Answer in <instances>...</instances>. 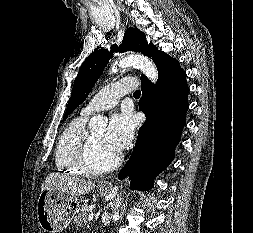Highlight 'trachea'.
<instances>
[{
    "label": "trachea",
    "mask_w": 253,
    "mask_h": 233,
    "mask_svg": "<svg viewBox=\"0 0 253 233\" xmlns=\"http://www.w3.org/2000/svg\"><path fill=\"white\" fill-rule=\"evenodd\" d=\"M134 96H140L141 95V92H140V90H136L135 92H134V94H133Z\"/></svg>",
    "instance_id": "trachea-1"
}]
</instances>
